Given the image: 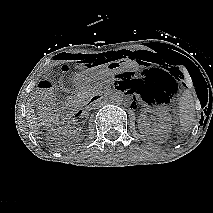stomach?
<instances>
[{
	"mask_svg": "<svg viewBox=\"0 0 213 213\" xmlns=\"http://www.w3.org/2000/svg\"><path fill=\"white\" fill-rule=\"evenodd\" d=\"M129 64L125 62H117L115 64H109L98 68H93L89 73H84L75 78L77 84H85L87 82L98 81L104 78L116 77L119 75H125L129 72Z\"/></svg>",
	"mask_w": 213,
	"mask_h": 213,
	"instance_id": "0dacf381",
	"label": "stomach"
}]
</instances>
